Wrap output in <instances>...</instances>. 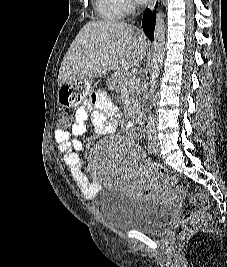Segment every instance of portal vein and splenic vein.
Returning a JSON list of instances; mask_svg holds the SVG:
<instances>
[{
    "mask_svg": "<svg viewBox=\"0 0 227 267\" xmlns=\"http://www.w3.org/2000/svg\"><path fill=\"white\" fill-rule=\"evenodd\" d=\"M130 80H131V81H136V76H135V75L131 76V77H130Z\"/></svg>",
    "mask_w": 227,
    "mask_h": 267,
    "instance_id": "obj_1",
    "label": "portal vein and splenic vein"
}]
</instances>
